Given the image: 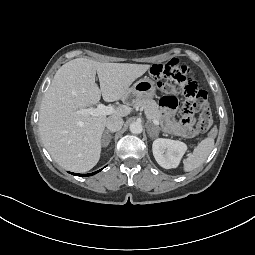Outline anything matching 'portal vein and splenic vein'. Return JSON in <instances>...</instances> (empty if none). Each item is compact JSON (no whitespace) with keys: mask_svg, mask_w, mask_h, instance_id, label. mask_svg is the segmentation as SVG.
Instances as JSON below:
<instances>
[{"mask_svg":"<svg viewBox=\"0 0 255 255\" xmlns=\"http://www.w3.org/2000/svg\"><path fill=\"white\" fill-rule=\"evenodd\" d=\"M115 112V108L112 106H105L104 104L100 103L98 104L97 108H87V109H80L78 110V113L80 114H89L92 116H98V115H111ZM153 124L156 126L159 125V121L154 119L152 120Z\"/></svg>","mask_w":255,"mask_h":255,"instance_id":"portal-vein-and-splenic-vein-1","label":"portal vein and splenic vein"}]
</instances>
